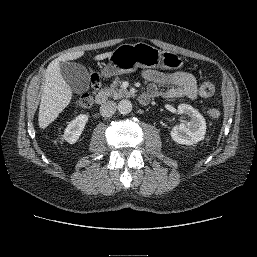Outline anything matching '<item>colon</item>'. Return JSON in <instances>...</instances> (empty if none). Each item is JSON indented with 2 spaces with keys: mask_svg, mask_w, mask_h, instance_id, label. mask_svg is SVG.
Wrapping results in <instances>:
<instances>
[{
  "mask_svg": "<svg viewBox=\"0 0 257 257\" xmlns=\"http://www.w3.org/2000/svg\"><path fill=\"white\" fill-rule=\"evenodd\" d=\"M99 78L94 75L91 80V88L96 91L99 88ZM199 92L204 97L212 96L215 93V85L212 82L206 81L200 85ZM93 103L92 93H84L77 99V104L81 107H89ZM211 118L216 119L220 116V111L217 108H211L208 111Z\"/></svg>",
  "mask_w": 257,
  "mask_h": 257,
  "instance_id": "colon-1",
  "label": "colon"
}]
</instances>
